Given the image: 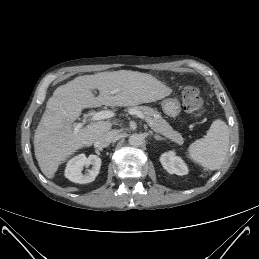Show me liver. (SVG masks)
<instances>
[{
    "instance_id": "liver-1",
    "label": "liver",
    "mask_w": 259,
    "mask_h": 259,
    "mask_svg": "<svg viewBox=\"0 0 259 259\" xmlns=\"http://www.w3.org/2000/svg\"><path fill=\"white\" fill-rule=\"evenodd\" d=\"M95 88L99 90L97 97L92 92ZM167 93V88L150 74L130 70L78 76L59 86L49 98L34 134L35 157L42 173L53 178L70 155L111 129L109 121H96L74 133L73 123L84 108L135 106L159 100Z\"/></svg>"
}]
</instances>
